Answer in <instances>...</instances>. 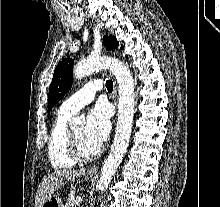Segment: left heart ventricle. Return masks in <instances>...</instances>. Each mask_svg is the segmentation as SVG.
Segmentation results:
<instances>
[{"mask_svg": "<svg viewBox=\"0 0 220 207\" xmlns=\"http://www.w3.org/2000/svg\"><path fill=\"white\" fill-rule=\"evenodd\" d=\"M80 148L81 151L86 154L90 155L94 153L98 147H96L93 143H91L86 135H85V128L84 127H78L72 130Z\"/></svg>", "mask_w": 220, "mask_h": 207, "instance_id": "b2bd125f", "label": "left heart ventricle"}]
</instances>
